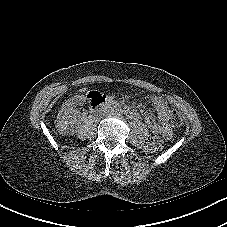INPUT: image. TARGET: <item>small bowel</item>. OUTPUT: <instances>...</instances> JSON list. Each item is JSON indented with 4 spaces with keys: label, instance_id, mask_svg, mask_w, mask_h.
Instances as JSON below:
<instances>
[{
    "label": "small bowel",
    "instance_id": "c3829d8e",
    "mask_svg": "<svg viewBox=\"0 0 227 227\" xmlns=\"http://www.w3.org/2000/svg\"><path fill=\"white\" fill-rule=\"evenodd\" d=\"M146 97L152 103L158 114V121L149 114L145 115V122L147 126L152 133L161 134L164 138L170 139L173 134L170 125V117L172 111L169 108L167 101L163 97L156 95H147ZM137 119H139V114Z\"/></svg>",
    "mask_w": 227,
    "mask_h": 227
}]
</instances>
